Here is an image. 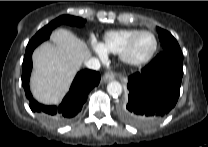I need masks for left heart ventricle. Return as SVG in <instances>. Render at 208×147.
<instances>
[{"label":"left heart ventricle","instance_id":"left-heart-ventricle-1","mask_svg":"<svg viewBox=\"0 0 208 147\" xmlns=\"http://www.w3.org/2000/svg\"><path fill=\"white\" fill-rule=\"evenodd\" d=\"M154 48V39L149 34H144L136 41L131 51V57L134 60L146 58Z\"/></svg>","mask_w":208,"mask_h":147}]
</instances>
